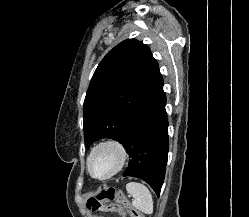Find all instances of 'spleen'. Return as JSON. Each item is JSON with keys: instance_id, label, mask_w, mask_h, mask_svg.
<instances>
[{"instance_id": "1", "label": "spleen", "mask_w": 249, "mask_h": 217, "mask_svg": "<svg viewBox=\"0 0 249 217\" xmlns=\"http://www.w3.org/2000/svg\"><path fill=\"white\" fill-rule=\"evenodd\" d=\"M127 192L132 195V205L145 214L153 213V198L149 189L138 182H130L126 185Z\"/></svg>"}]
</instances>
